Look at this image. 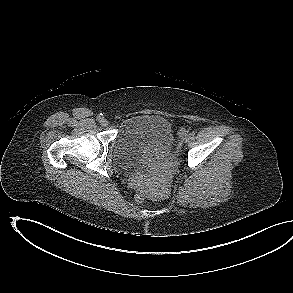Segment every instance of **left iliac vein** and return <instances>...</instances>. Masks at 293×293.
I'll use <instances>...</instances> for the list:
<instances>
[{
	"label": "left iliac vein",
	"mask_w": 293,
	"mask_h": 293,
	"mask_svg": "<svg viewBox=\"0 0 293 293\" xmlns=\"http://www.w3.org/2000/svg\"><path fill=\"white\" fill-rule=\"evenodd\" d=\"M189 139H190V135H185V137L183 138V140H184L185 142H187Z\"/></svg>",
	"instance_id": "1"
}]
</instances>
